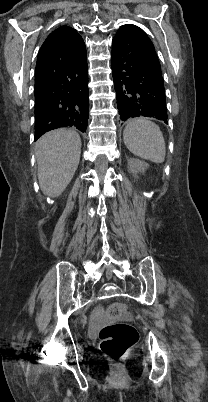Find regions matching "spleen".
Here are the masks:
<instances>
[{"label": "spleen", "instance_id": "obj_1", "mask_svg": "<svg viewBox=\"0 0 208 402\" xmlns=\"http://www.w3.org/2000/svg\"><path fill=\"white\" fill-rule=\"evenodd\" d=\"M123 140L126 148L143 160H150L155 164H162L166 156L163 134L154 122L148 118H135L128 122Z\"/></svg>", "mask_w": 208, "mask_h": 402}]
</instances>
